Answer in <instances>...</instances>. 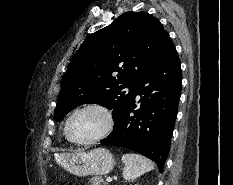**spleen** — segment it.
Returning <instances> with one entry per match:
<instances>
[{
  "mask_svg": "<svg viewBox=\"0 0 233 185\" xmlns=\"http://www.w3.org/2000/svg\"><path fill=\"white\" fill-rule=\"evenodd\" d=\"M122 161L125 165L123 169V177L125 180H135L154 168L151 160L139 154H124Z\"/></svg>",
  "mask_w": 233,
  "mask_h": 185,
  "instance_id": "3e777b00",
  "label": "spleen"
}]
</instances>
